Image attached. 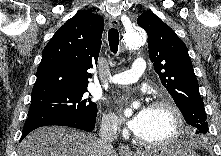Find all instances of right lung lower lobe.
Instances as JSON below:
<instances>
[{"instance_id": "obj_1", "label": "right lung lower lobe", "mask_w": 221, "mask_h": 156, "mask_svg": "<svg viewBox=\"0 0 221 156\" xmlns=\"http://www.w3.org/2000/svg\"><path fill=\"white\" fill-rule=\"evenodd\" d=\"M96 117H67V116H28L23 127L20 141L32 130L48 125H62L78 128L84 131H92L95 127Z\"/></svg>"}]
</instances>
